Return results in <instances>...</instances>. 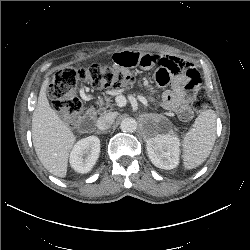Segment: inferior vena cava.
Returning <instances> with one entry per match:
<instances>
[{
  "label": "inferior vena cava",
  "instance_id": "1",
  "mask_svg": "<svg viewBox=\"0 0 250 250\" xmlns=\"http://www.w3.org/2000/svg\"><path fill=\"white\" fill-rule=\"evenodd\" d=\"M115 119V114L114 113H107L103 116H101L97 120V128L99 130H107L111 127Z\"/></svg>",
  "mask_w": 250,
  "mask_h": 250
}]
</instances>
